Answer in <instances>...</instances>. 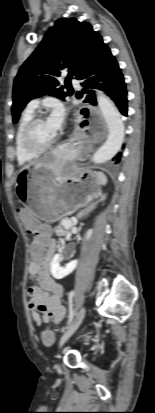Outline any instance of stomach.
<instances>
[{
  "instance_id": "1",
  "label": "stomach",
  "mask_w": 155,
  "mask_h": 413,
  "mask_svg": "<svg viewBox=\"0 0 155 413\" xmlns=\"http://www.w3.org/2000/svg\"><path fill=\"white\" fill-rule=\"evenodd\" d=\"M15 189L19 201L47 222H56L73 214L101 194V184L95 172L66 169L54 156L21 168Z\"/></svg>"
}]
</instances>
